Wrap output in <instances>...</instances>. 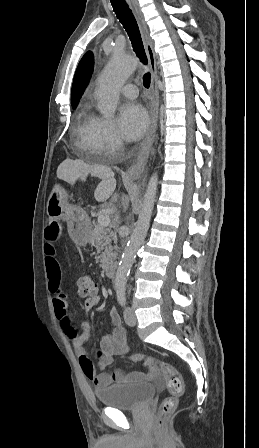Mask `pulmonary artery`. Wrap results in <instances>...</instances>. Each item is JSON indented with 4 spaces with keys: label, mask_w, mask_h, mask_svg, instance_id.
<instances>
[{
    "label": "pulmonary artery",
    "mask_w": 259,
    "mask_h": 448,
    "mask_svg": "<svg viewBox=\"0 0 259 448\" xmlns=\"http://www.w3.org/2000/svg\"><path fill=\"white\" fill-rule=\"evenodd\" d=\"M114 64L120 76L125 79L135 70L137 58L133 54H121L115 59ZM118 92L130 98H135L138 95L133 84L120 85Z\"/></svg>",
    "instance_id": "e3ab8cb5"
}]
</instances>
